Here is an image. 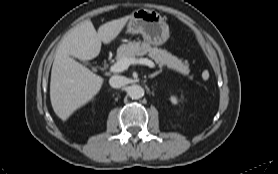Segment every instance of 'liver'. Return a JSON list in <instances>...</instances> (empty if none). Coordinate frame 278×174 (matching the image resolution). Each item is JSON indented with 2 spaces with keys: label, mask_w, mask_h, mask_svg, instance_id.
I'll return each instance as SVG.
<instances>
[{
  "label": "liver",
  "mask_w": 278,
  "mask_h": 174,
  "mask_svg": "<svg viewBox=\"0 0 278 174\" xmlns=\"http://www.w3.org/2000/svg\"><path fill=\"white\" fill-rule=\"evenodd\" d=\"M131 15L106 22L98 31L90 20L70 30L56 52L51 71L50 100L56 115L63 121L90 101L101 89L103 78L71 56L82 61L97 57L102 43L109 44L123 30Z\"/></svg>",
  "instance_id": "liver-1"
}]
</instances>
